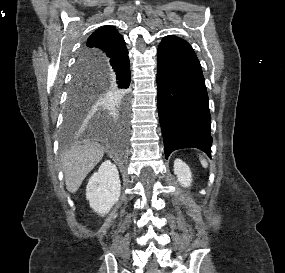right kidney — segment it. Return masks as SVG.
<instances>
[{
  "label": "right kidney",
  "mask_w": 285,
  "mask_h": 273,
  "mask_svg": "<svg viewBox=\"0 0 285 273\" xmlns=\"http://www.w3.org/2000/svg\"><path fill=\"white\" fill-rule=\"evenodd\" d=\"M121 193L119 173L114 164L106 160L94 173L86 187L90 207L100 215L107 214L118 201Z\"/></svg>",
  "instance_id": "right-kidney-1"
}]
</instances>
